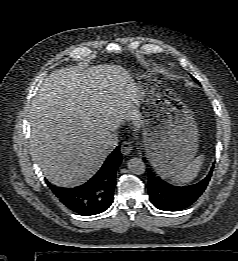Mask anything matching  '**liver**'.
Returning <instances> with one entry per match:
<instances>
[{
  "label": "liver",
  "mask_w": 238,
  "mask_h": 261,
  "mask_svg": "<svg viewBox=\"0 0 238 261\" xmlns=\"http://www.w3.org/2000/svg\"><path fill=\"white\" fill-rule=\"evenodd\" d=\"M140 97L130 74L116 65L52 72L29 112L30 154L45 177L60 187L85 183L110 153L104 139L125 121L142 126Z\"/></svg>",
  "instance_id": "6515ba94"
}]
</instances>
